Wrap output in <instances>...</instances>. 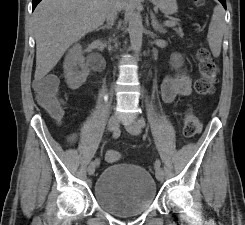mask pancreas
<instances>
[{
  "mask_svg": "<svg viewBox=\"0 0 245 225\" xmlns=\"http://www.w3.org/2000/svg\"><path fill=\"white\" fill-rule=\"evenodd\" d=\"M178 24V20H175V25L174 26H176ZM173 26V27H174ZM174 30L177 32V34H179L180 36H182L183 35V31H182V29L180 28V27H178V28H174Z\"/></svg>",
  "mask_w": 245,
  "mask_h": 225,
  "instance_id": "1",
  "label": "pancreas"
}]
</instances>
